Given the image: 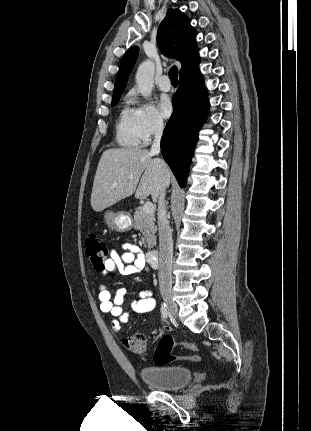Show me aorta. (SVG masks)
<instances>
[{
	"label": "aorta",
	"instance_id": "1",
	"mask_svg": "<svg viewBox=\"0 0 311 431\" xmlns=\"http://www.w3.org/2000/svg\"><path fill=\"white\" fill-rule=\"evenodd\" d=\"M154 74H155V64L152 60H145L140 64L135 80L137 84V90H139L143 98H150L152 90L154 88Z\"/></svg>",
	"mask_w": 311,
	"mask_h": 431
}]
</instances>
